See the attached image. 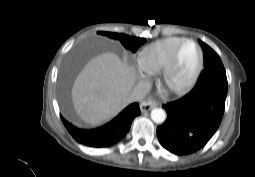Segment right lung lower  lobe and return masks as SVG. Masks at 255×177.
Masks as SVG:
<instances>
[{
    "label": "right lung lower lobe",
    "mask_w": 255,
    "mask_h": 177,
    "mask_svg": "<svg viewBox=\"0 0 255 177\" xmlns=\"http://www.w3.org/2000/svg\"><path fill=\"white\" fill-rule=\"evenodd\" d=\"M140 114L139 104L132 103L106 125L90 130L77 128L63 117L61 118L67 130L77 142L89 147L106 148L125 137L130 130L133 119Z\"/></svg>",
    "instance_id": "1"
}]
</instances>
